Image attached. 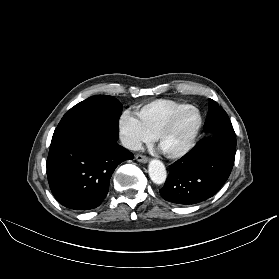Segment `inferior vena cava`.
Segmentation results:
<instances>
[{"mask_svg":"<svg viewBox=\"0 0 279 279\" xmlns=\"http://www.w3.org/2000/svg\"><path fill=\"white\" fill-rule=\"evenodd\" d=\"M121 142L124 147L130 150L138 151L141 150L142 144L139 140L131 137H123Z\"/></svg>","mask_w":279,"mask_h":279,"instance_id":"602c4592","label":"inferior vena cava"}]
</instances>
